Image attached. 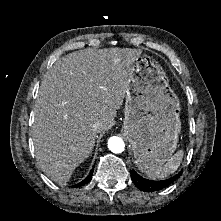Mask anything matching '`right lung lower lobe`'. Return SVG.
<instances>
[{"label":"right lung lower lobe","mask_w":221,"mask_h":221,"mask_svg":"<svg viewBox=\"0 0 221 221\" xmlns=\"http://www.w3.org/2000/svg\"><path fill=\"white\" fill-rule=\"evenodd\" d=\"M92 173H93V170L89 173V175L82 182L74 185L73 187H80V186H83L85 184H88L92 179Z\"/></svg>","instance_id":"right-lung-lower-lobe-1"}]
</instances>
